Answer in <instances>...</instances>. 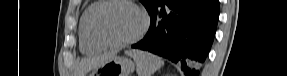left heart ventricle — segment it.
Listing matches in <instances>:
<instances>
[{
    "instance_id": "1",
    "label": "left heart ventricle",
    "mask_w": 287,
    "mask_h": 76,
    "mask_svg": "<svg viewBox=\"0 0 287 76\" xmlns=\"http://www.w3.org/2000/svg\"><path fill=\"white\" fill-rule=\"evenodd\" d=\"M142 22V16L135 8L115 3L100 15L98 29L107 40L120 41L133 37L140 30Z\"/></svg>"
}]
</instances>
